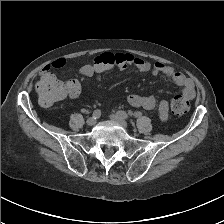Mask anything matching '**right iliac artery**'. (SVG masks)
I'll return each instance as SVG.
<instances>
[{
	"mask_svg": "<svg viewBox=\"0 0 224 224\" xmlns=\"http://www.w3.org/2000/svg\"><path fill=\"white\" fill-rule=\"evenodd\" d=\"M92 116H93L94 119H98L101 116V111L99 109L95 110L93 112Z\"/></svg>",
	"mask_w": 224,
	"mask_h": 224,
	"instance_id": "obj_1",
	"label": "right iliac artery"
}]
</instances>
